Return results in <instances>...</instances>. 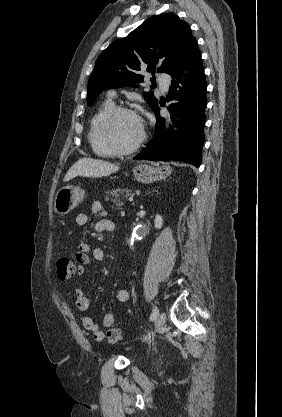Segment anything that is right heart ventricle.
I'll return each instance as SVG.
<instances>
[{
  "label": "right heart ventricle",
  "mask_w": 282,
  "mask_h": 417,
  "mask_svg": "<svg viewBox=\"0 0 282 417\" xmlns=\"http://www.w3.org/2000/svg\"><path fill=\"white\" fill-rule=\"evenodd\" d=\"M114 108L113 102L110 100L105 101L102 106L99 108L98 112L92 119L91 128L89 133V139L92 144L93 149L96 153L101 156L112 155L111 152L103 143L101 132L99 130V125L105 118V116Z\"/></svg>",
  "instance_id": "obj_1"
}]
</instances>
